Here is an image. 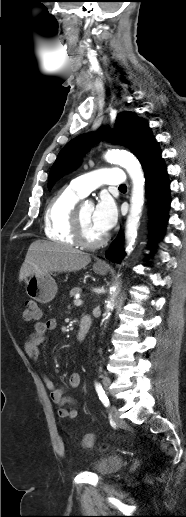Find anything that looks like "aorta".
I'll use <instances>...</instances> for the list:
<instances>
[{"mask_svg":"<svg viewBox=\"0 0 186 517\" xmlns=\"http://www.w3.org/2000/svg\"><path fill=\"white\" fill-rule=\"evenodd\" d=\"M107 161L116 163L126 169L132 180V194L130 200V210L126 221L125 240L126 251L130 253L137 237V230L144 204L145 177L139 161L129 152L124 150H109L105 154ZM115 291V289H113ZM113 297L107 301L108 311L113 308ZM110 313L106 316V319Z\"/></svg>","mask_w":186,"mask_h":517,"instance_id":"obj_1","label":"aorta"}]
</instances>
